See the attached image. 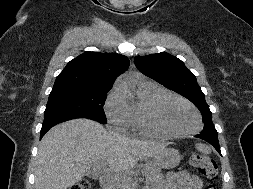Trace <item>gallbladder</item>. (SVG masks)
I'll return each mask as SVG.
<instances>
[{
  "mask_svg": "<svg viewBox=\"0 0 253 189\" xmlns=\"http://www.w3.org/2000/svg\"><path fill=\"white\" fill-rule=\"evenodd\" d=\"M86 175L92 178H97V173L92 170L87 171Z\"/></svg>",
  "mask_w": 253,
  "mask_h": 189,
  "instance_id": "obj_1",
  "label": "gallbladder"
}]
</instances>
